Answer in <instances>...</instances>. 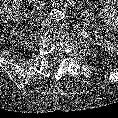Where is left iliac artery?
Returning <instances> with one entry per match:
<instances>
[{"label": "left iliac artery", "instance_id": "1", "mask_svg": "<svg viewBox=\"0 0 118 118\" xmlns=\"http://www.w3.org/2000/svg\"><path fill=\"white\" fill-rule=\"evenodd\" d=\"M63 18H64V14H61V15H60V19H63Z\"/></svg>", "mask_w": 118, "mask_h": 118}]
</instances>
